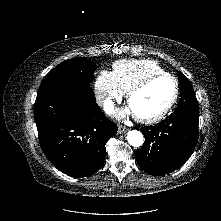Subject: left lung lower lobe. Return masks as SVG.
I'll return each mask as SVG.
<instances>
[{"instance_id": "left-lung-lower-lobe-1", "label": "left lung lower lobe", "mask_w": 221, "mask_h": 221, "mask_svg": "<svg viewBox=\"0 0 221 221\" xmlns=\"http://www.w3.org/2000/svg\"><path fill=\"white\" fill-rule=\"evenodd\" d=\"M199 108H178L165 120L142 127L145 143L137 154L138 165L159 176L182 166L198 140Z\"/></svg>"}]
</instances>
